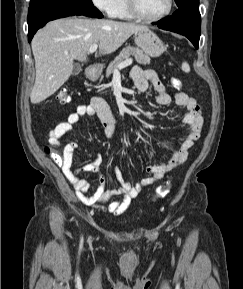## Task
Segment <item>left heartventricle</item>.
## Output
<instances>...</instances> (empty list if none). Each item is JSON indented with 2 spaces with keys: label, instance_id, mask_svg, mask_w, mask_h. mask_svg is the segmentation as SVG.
I'll list each match as a JSON object with an SVG mask.
<instances>
[{
  "label": "left heart ventricle",
  "instance_id": "b2bd125f",
  "mask_svg": "<svg viewBox=\"0 0 243 289\" xmlns=\"http://www.w3.org/2000/svg\"><path fill=\"white\" fill-rule=\"evenodd\" d=\"M140 11L147 16H157L166 11L168 0H137Z\"/></svg>",
  "mask_w": 243,
  "mask_h": 289
}]
</instances>
